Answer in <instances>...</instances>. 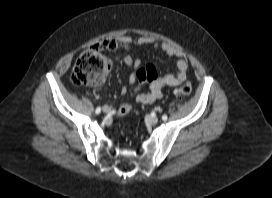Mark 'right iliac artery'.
<instances>
[{"instance_id":"82829eb1","label":"right iliac artery","mask_w":272,"mask_h":198,"mask_svg":"<svg viewBox=\"0 0 272 198\" xmlns=\"http://www.w3.org/2000/svg\"><path fill=\"white\" fill-rule=\"evenodd\" d=\"M100 112H101V108L98 107V108L96 109L95 113H96V114H99Z\"/></svg>"}]
</instances>
